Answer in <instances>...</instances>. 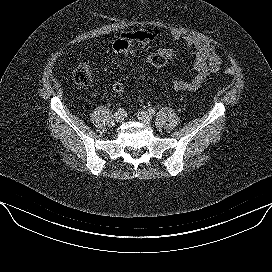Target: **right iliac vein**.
Here are the masks:
<instances>
[{
	"instance_id": "right-iliac-vein-1",
	"label": "right iliac vein",
	"mask_w": 272,
	"mask_h": 272,
	"mask_svg": "<svg viewBox=\"0 0 272 272\" xmlns=\"http://www.w3.org/2000/svg\"><path fill=\"white\" fill-rule=\"evenodd\" d=\"M123 119H124L123 114H121V113H115V114H114V120H115L116 122H122Z\"/></svg>"
}]
</instances>
